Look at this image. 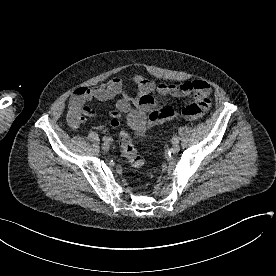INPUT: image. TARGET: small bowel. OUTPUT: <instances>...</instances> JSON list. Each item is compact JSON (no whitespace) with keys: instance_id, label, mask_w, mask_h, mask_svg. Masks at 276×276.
Listing matches in <instances>:
<instances>
[{"instance_id":"small-bowel-1","label":"small bowel","mask_w":276,"mask_h":276,"mask_svg":"<svg viewBox=\"0 0 276 276\" xmlns=\"http://www.w3.org/2000/svg\"><path fill=\"white\" fill-rule=\"evenodd\" d=\"M133 82L137 86L136 96H131L126 91V84L122 78L115 77L102 84L93 87L77 88L69 100V122L72 127H78L85 122L87 117H94L97 111L88 105L91 100L108 101L120 96L115 109L109 112V124L112 128L120 125V119L125 114L136 112L147 115H155L154 124L181 116L187 119H195L202 116L210 107V94L212 88L204 80H189L181 84L160 83L155 85L151 80L142 75H135ZM162 96L185 97L194 94V102L180 109L171 106H162L153 93ZM135 108V110H133Z\"/></svg>"}]
</instances>
